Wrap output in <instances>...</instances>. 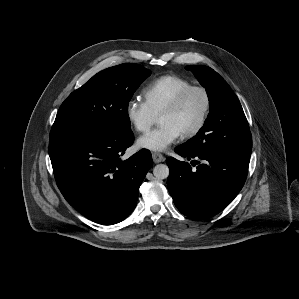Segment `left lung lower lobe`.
<instances>
[{
	"label": "left lung lower lobe",
	"instance_id": "0a47b994",
	"mask_svg": "<svg viewBox=\"0 0 299 299\" xmlns=\"http://www.w3.org/2000/svg\"><path fill=\"white\" fill-rule=\"evenodd\" d=\"M175 152L192 160L193 166L198 164L193 169L187 162L172 157L166 160L170 169L169 192L178 210L188 217L207 219L218 214L237 196L246 181L250 156L202 155L183 145L176 147Z\"/></svg>",
	"mask_w": 299,
	"mask_h": 299
}]
</instances>
